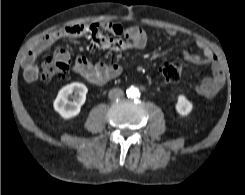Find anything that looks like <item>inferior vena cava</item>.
I'll return each mask as SVG.
<instances>
[{
    "label": "inferior vena cava",
    "instance_id": "1",
    "mask_svg": "<svg viewBox=\"0 0 245 195\" xmlns=\"http://www.w3.org/2000/svg\"><path fill=\"white\" fill-rule=\"evenodd\" d=\"M124 96V92L122 89L119 88H113L109 91L108 97L110 99H118Z\"/></svg>",
    "mask_w": 245,
    "mask_h": 195
}]
</instances>
